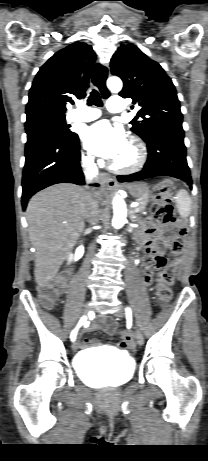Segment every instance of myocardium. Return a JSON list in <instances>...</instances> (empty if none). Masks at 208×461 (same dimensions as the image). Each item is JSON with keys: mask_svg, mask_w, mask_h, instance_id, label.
Instances as JSON below:
<instances>
[{"mask_svg": "<svg viewBox=\"0 0 208 461\" xmlns=\"http://www.w3.org/2000/svg\"><path fill=\"white\" fill-rule=\"evenodd\" d=\"M127 143L134 151V161L129 165H120L114 161L110 163V169L121 174H130L140 170L147 159V150L144 143L136 136H130Z\"/></svg>", "mask_w": 208, "mask_h": 461, "instance_id": "f54148a6", "label": "myocardium"}]
</instances>
